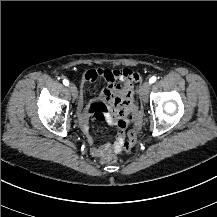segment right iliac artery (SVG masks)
Wrapping results in <instances>:
<instances>
[{"label": "right iliac artery", "mask_w": 217, "mask_h": 217, "mask_svg": "<svg viewBox=\"0 0 217 217\" xmlns=\"http://www.w3.org/2000/svg\"><path fill=\"white\" fill-rule=\"evenodd\" d=\"M63 84H64L65 86H68V85H69V81L66 80V79H64V80H63Z\"/></svg>", "instance_id": "obj_1"}]
</instances>
